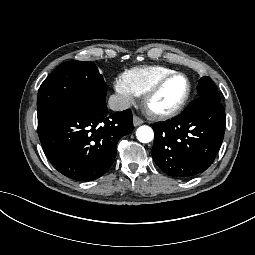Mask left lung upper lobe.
I'll return each mask as SVG.
<instances>
[{
    "label": "left lung upper lobe",
    "instance_id": "left-lung-upper-lobe-1",
    "mask_svg": "<svg viewBox=\"0 0 255 255\" xmlns=\"http://www.w3.org/2000/svg\"><path fill=\"white\" fill-rule=\"evenodd\" d=\"M199 97L211 98L215 101L220 102L219 92L209 77H202L197 87Z\"/></svg>",
    "mask_w": 255,
    "mask_h": 255
}]
</instances>
